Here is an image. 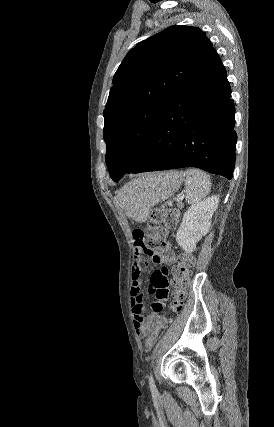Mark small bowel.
Returning <instances> with one entry per match:
<instances>
[{
    "label": "small bowel",
    "mask_w": 274,
    "mask_h": 427,
    "mask_svg": "<svg viewBox=\"0 0 274 427\" xmlns=\"http://www.w3.org/2000/svg\"><path fill=\"white\" fill-rule=\"evenodd\" d=\"M134 265L132 270V286H131V301H132V313L134 318V326L137 332L142 337H148V332L153 331L152 322L146 321L145 312L146 307L144 304V295L141 291L142 275L146 271V265L148 263L147 258L143 255L144 246L138 245L134 247ZM147 257L152 254L154 256L151 259L153 265H160L161 262L165 265H171L176 261V254L172 250L164 249L159 250L158 248L152 251L147 248L144 251ZM146 281L149 285V292L151 294H158L159 301H149V310H164L165 302L169 300V291L171 282L167 275V269H157L155 275H148Z\"/></svg>",
    "instance_id": "1"
}]
</instances>
